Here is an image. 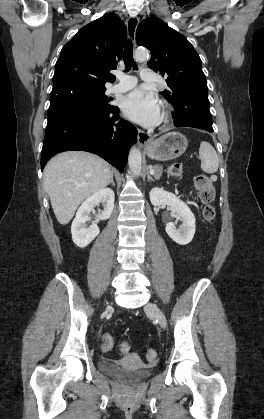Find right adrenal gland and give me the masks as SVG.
Wrapping results in <instances>:
<instances>
[{
  "mask_svg": "<svg viewBox=\"0 0 264 419\" xmlns=\"http://www.w3.org/2000/svg\"><path fill=\"white\" fill-rule=\"evenodd\" d=\"M110 184H112V186L114 187L115 186V183H114V180H113V174H112V176H111V180H110V182H109V185Z\"/></svg>",
  "mask_w": 264,
  "mask_h": 419,
  "instance_id": "2a0ac1e0",
  "label": "right adrenal gland"
}]
</instances>
